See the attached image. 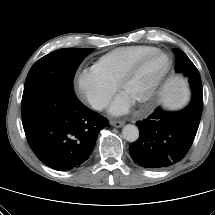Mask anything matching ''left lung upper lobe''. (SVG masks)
<instances>
[{"label":"left lung upper lobe","mask_w":215,"mask_h":215,"mask_svg":"<svg viewBox=\"0 0 215 215\" xmlns=\"http://www.w3.org/2000/svg\"><path fill=\"white\" fill-rule=\"evenodd\" d=\"M173 51L176 56L175 72L187 76L190 81L192 94L202 97V83L197 68L183 51L179 49H173Z\"/></svg>","instance_id":"5c2ea615"}]
</instances>
